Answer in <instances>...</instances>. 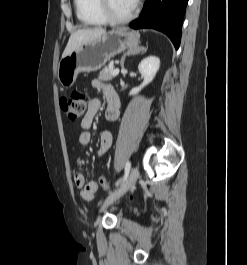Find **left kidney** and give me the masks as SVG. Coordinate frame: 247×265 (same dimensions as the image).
<instances>
[{
	"mask_svg": "<svg viewBox=\"0 0 247 265\" xmlns=\"http://www.w3.org/2000/svg\"><path fill=\"white\" fill-rule=\"evenodd\" d=\"M159 68H160V60L158 57L149 56L143 59L138 66V70L142 75V77L144 78V80L141 83V85L133 88L129 94L134 95L138 93L146 85H148L154 79Z\"/></svg>",
	"mask_w": 247,
	"mask_h": 265,
	"instance_id": "1",
	"label": "left kidney"
}]
</instances>
